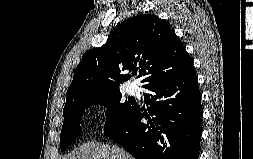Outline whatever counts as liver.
Instances as JSON below:
<instances>
[{
  "mask_svg": "<svg viewBox=\"0 0 253 159\" xmlns=\"http://www.w3.org/2000/svg\"><path fill=\"white\" fill-rule=\"evenodd\" d=\"M66 159H134L123 148L103 143H85Z\"/></svg>",
  "mask_w": 253,
  "mask_h": 159,
  "instance_id": "6515ba94",
  "label": "liver"
}]
</instances>
